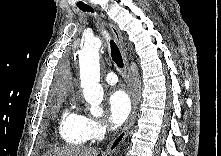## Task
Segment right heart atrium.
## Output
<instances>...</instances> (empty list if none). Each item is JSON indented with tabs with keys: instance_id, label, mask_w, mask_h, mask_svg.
Wrapping results in <instances>:
<instances>
[{
	"instance_id": "obj_1",
	"label": "right heart atrium",
	"mask_w": 221,
	"mask_h": 156,
	"mask_svg": "<svg viewBox=\"0 0 221 156\" xmlns=\"http://www.w3.org/2000/svg\"><path fill=\"white\" fill-rule=\"evenodd\" d=\"M81 119L84 134L89 141L102 139L109 129L108 123L104 119L89 115H81Z\"/></svg>"
}]
</instances>
